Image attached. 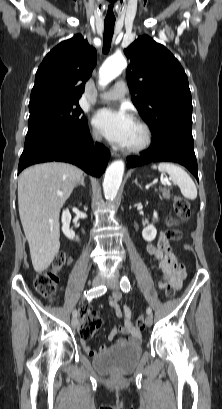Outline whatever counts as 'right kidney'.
<instances>
[{"instance_id":"ca27d5eb","label":"right kidney","mask_w":222,"mask_h":409,"mask_svg":"<svg viewBox=\"0 0 222 409\" xmlns=\"http://www.w3.org/2000/svg\"><path fill=\"white\" fill-rule=\"evenodd\" d=\"M70 221L71 214L69 210L66 209L62 213V231L67 238L73 239L75 237V232L72 229H70Z\"/></svg>"}]
</instances>
